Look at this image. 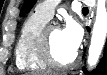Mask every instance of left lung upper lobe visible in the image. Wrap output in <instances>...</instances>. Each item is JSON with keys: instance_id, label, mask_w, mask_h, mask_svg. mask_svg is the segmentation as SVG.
Returning a JSON list of instances; mask_svg holds the SVG:
<instances>
[{"instance_id": "1", "label": "left lung upper lobe", "mask_w": 107, "mask_h": 75, "mask_svg": "<svg viewBox=\"0 0 107 75\" xmlns=\"http://www.w3.org/2000/svg\"><path fill=\"white\" fill-rule=\"evenodd\" d=\"M35 2L36 0H25L21 9V16L24 15L26 12H28L32 8Z\"/></svg>"}]
</instances>
